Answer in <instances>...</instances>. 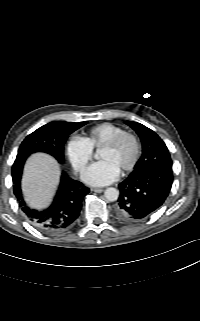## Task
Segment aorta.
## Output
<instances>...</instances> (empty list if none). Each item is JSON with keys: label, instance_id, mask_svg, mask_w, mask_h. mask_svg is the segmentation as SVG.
<instances>
[{"label": "aorta", "instance_id": "1", "mask_svg": "<svg viewBox=\"0 0 200 321\" xmlns=\"http://www.w3.org/2000/svg\"><path fill=\"white\" fill-rule=\"evenodd\" d=\"M104 196L108 201L113 202L118 199L119 191L116 188L109 187L105 190Z\"/></svg>", "mask_w": 200, "mask_h": 321}]
</instances>
